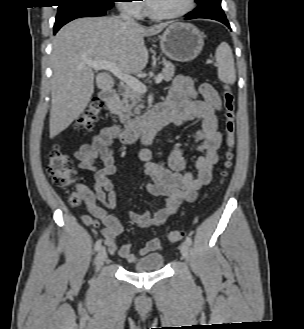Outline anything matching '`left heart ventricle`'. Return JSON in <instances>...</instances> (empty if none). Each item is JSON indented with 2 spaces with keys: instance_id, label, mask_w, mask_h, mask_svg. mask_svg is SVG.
<instances>
[{
  "instance_id": "left-heart-ventricle-1",
  "label": "left heart ventricle",
  "mask_w": 304,
  "mask_h": 329,
  "mask_svg": "<svg viewBox=\"0 0 304 329\" xmlns=\"http://www.w3.org/2000/svg\"><path fill=\"white\" fill-rule=\"evenodd\" d=\"M150 8L159 14L174 13L183 9L187 0H147Z\"/></svg>"
}]
</instances>
